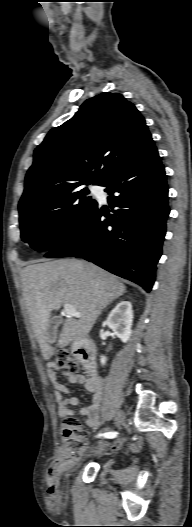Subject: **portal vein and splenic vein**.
Returning a JSON list of instances; mask_svg holds the SVG:
<instances>
[{"label":"portal vein and splenic vein","instance_id":"obj_1","mask_svg":"<svg viewBox=\"0 0 192 527\" xmlns=\"http://www.w3.org/2000/svg\"><path fill=\"white\" fill-rule=\"evenodd\" d=\"M64 312L71 317L80 318L81 314L70 304H64Z\"/></svg>","mask_w":192,"mask_h":527}]
</instances>
